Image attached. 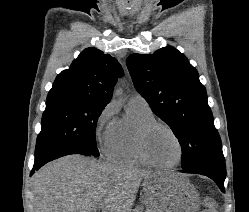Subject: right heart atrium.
Instances as JSON below:
<instances>
[{
  "instance_id": "right-heart-atrium-1",
  "label": "right heart atrium",
  "mask_w": 249,
  "mask_h": 212,
  "mask_svg": "<svg viewBox=\"0 0 249 212\" xmlns=\"http://www.w3.org/2000/svg\"><path fill=\"white\" fill-rule=\"evenodd\" d=\"M116 107L113 102L106 104L98 114L94 123V136L98 146L106 153L112 138V126Z\"/></svg>"
}]
</instances>
